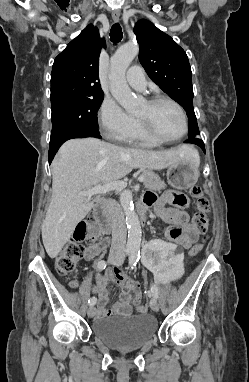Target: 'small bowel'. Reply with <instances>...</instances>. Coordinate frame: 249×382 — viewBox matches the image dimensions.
Wrapping results in <instances>:
<instances>
[{
	"mask_svg": "<svg viewBox=\"0 0 249 382\" xmlns=\"http://www.w3.org/2000/svg\"><path fill=\"white\" fill-rule=\"evenodd\" d=\"M143 202L147 207H153L161 219L171 224V227L167 231V236L171 241H176L177 245H180L181 248H189L191 244L199 238L200 232L194 222L190 221L189 214L186 211L189 206V200L184 194L175 191H166L158 197L153 191H149L144 195ZM108 245L109 241L104 239L99 243L89 246L85 251L84 258L86 260H92L97 255L105 252ZM112 282L120 286V298L110 309H106L108 285ZM93 291L98 296L96 310L101 317L129 314L131 312L130 293L131 291L135 292V294L139 293L137 281L129 278L120 269L107 271L98 279Z\"/></svg>",
	"mask_w": 249,
	"mask_h": 382,
	"instance_id": "1",
	"label": "small bowel"
}]
</instances>
